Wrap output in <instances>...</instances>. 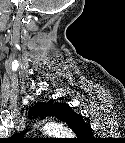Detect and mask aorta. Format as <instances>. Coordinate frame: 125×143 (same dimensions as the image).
I'll return each mask as SVG.
<instances>
[{
	"label": "aorta",
	"instance_id": "762f6f07",
	"mask_svg": "<svg viewBox=\"0 0 125 143\" xmlns=\"http://www.w3.org/2000/svg\"><path fill=\"white\" fill-rule=\"evenodd\" d=\"M43 131L45 134H55V133H61V134H68L69 130L61 123H48L43 127Z\"/></svg>",
	"mask_w": 125,
	"mask_h": 143
}]
</instances>
